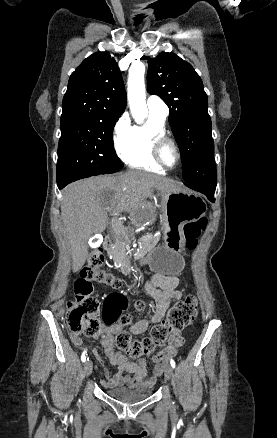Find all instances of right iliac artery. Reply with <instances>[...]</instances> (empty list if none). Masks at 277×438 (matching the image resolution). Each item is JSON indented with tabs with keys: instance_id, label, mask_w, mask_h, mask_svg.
I'll list each match as a JSON object with an SVG mask.
<instances>
[{
	"instance_id": "1",
	"label": "right iliac artery",
	"mask_w": 277,
	"mask_h": 438,
	"mask_svg": "<svg viewBox=\"0 0 277 438\" xmlns=\"http://www.w3.org/2000/svg\"><path fill=\"white\" fill-rule=\"evenodd\" d=\"M86 356H87V351H84V352L82 353V355H81V360H82V362H85V361H86Z\"/></svg>"
}]
</instances>
